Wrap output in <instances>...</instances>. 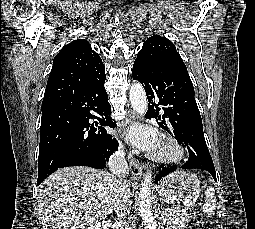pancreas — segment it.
<instances>
[{"mask_svg":"<svg viewBox=\"0 0 255 229\" xmlns=\"http://www.w3.org/2000/svg\"><path fill=\"white\" fill-rule=\"evenodd\" d=\"M194 217L191 212H173L163 220L165 229H184Z\"/></svg>","mask_w":255,"mask_h":229,"instance_id":"pancreas-1","label":"pancreas"}]
</instances>
